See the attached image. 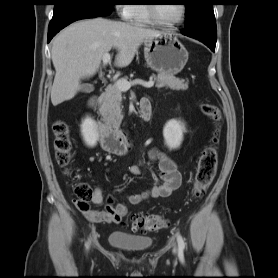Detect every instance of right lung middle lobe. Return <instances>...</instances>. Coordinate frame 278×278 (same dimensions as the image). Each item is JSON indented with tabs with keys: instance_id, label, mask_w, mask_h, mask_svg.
<instances>
[{
	"instance_id": "obj_1",
	"label": "right lung middle lobe",
	"mask_w": 278,
	"mask_h": 278,
	"mask_svg": "<svg viewBox=\"0 0 278 278\" xmlns=\"http://www.w3.org/2000/svg\"><path fill=\"white\" fill-rule=\"evenodd\" d=\"M54 14L52 22L68 12L81 11L107 16L111 14L113 0H53Z\"/></svg>"
}]
</instances>
